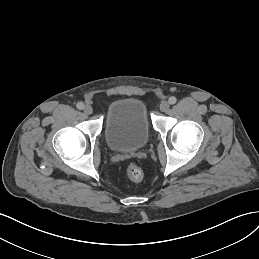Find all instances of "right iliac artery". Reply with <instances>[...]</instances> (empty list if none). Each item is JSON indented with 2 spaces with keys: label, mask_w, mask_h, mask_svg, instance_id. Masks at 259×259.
<instances>
[{
  "label": "right iliac artery",
  "mask_w": 259,
  "mask_h": 259,
  "mask_svg": "<svg viewBox=\"0 0 259 259\" xmlns=\"http://www.w3.org/2000/svg\"><path fill=\"white\" fill-rule=\"evenodd\" d=\"M76 107L79 109V110H82L84 108V104L82 102H79L77 103Z\"/></svg>",
  "instance_id": "obj_1"
}]
</instances>
